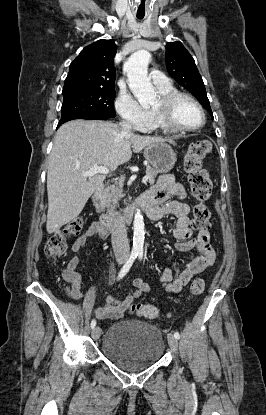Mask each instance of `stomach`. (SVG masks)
Here are the masks:
<instances>
[{
    "instance_id": "0dacf381",
    "label": "stomach",
    "mask_w": 266,
    "mask_h": 415,
    "mask_svg": "<svg viewBox=\"0 0 266 415\" xmlns=\"http://www.w3.org/2000/svg\"><path fill=\"white\" fill-rule=\"evenodd\" d=\"M144 156L159 173L169 172L176 162V153L166 142L148 145L144 150Z\"/></svg>"
}]
</instances>
